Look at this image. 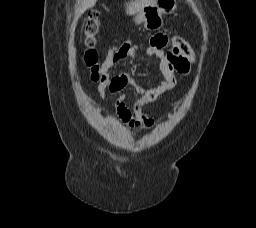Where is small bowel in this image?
Returning <instances> with one entry per match:
<instances>
[{"instance_id": "1", "label": "small bowel", "mask_w": 256, "mask_h": 228, "mask_svg": "<svg viewBox=\"0 0 256 228\" xmlns=\"http://www.w3.org/2000/svg\"><path fill=\"white\" fill-rule=\"evenodd\" d=\"M138 45L124 43L115 59H105L103 62V75L99 79L98 91L101 97L108 92L117 93L131 86L139 94L130 107L127 97L120 95L115 102L116 111L121 120L131 128L150 127L153 123L144 111L147 103L159 100L165 93L173 90L177 85V75H186L190 70V63L185 60L171 44V40L164 34L155 35L146 50V55L157 58L162 73L161 82L151 88L140 86L129 73L113 75V66L125 58H135L138 55Z\"/></svg>"}]
</instances>
